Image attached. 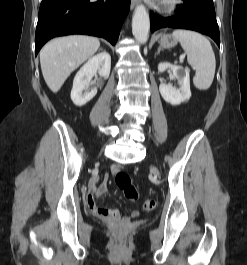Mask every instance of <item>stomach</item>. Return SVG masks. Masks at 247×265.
Wrapping results in <instances>:
<instances>
[{
	"label": "stomach",
	"instance_id": "1",
	"mask_svg": "<svg viewBox=\"0 0 247 265\" xmlns=\"http://www.w3.org/2000/svg\"><path fill=\"white\" fill-rule=\"evenodd\" d=\"M159 43L163 48L169 49L177 45V39L172 35L163 34L160 36Z\"/></svg>",
	"mask_w": 247,
	"mask_h": 265
}]
</instances>
